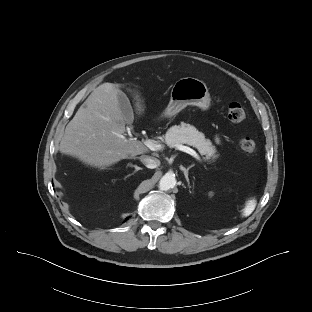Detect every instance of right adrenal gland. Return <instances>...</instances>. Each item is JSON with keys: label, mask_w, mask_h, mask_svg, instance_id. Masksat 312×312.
Masks as SVG:
<instances>
[{"label": "right adrenal gland", "mask_w": 312, "mask_h": 312, "mask_svg": "<svg viewBox=\"0 0 312 312\" xmlns=\"http://www.w3.org/2000/svg\"><path fill=\"white\" fill-rule=\"evenodd\" d=\"M128 166L134 167V168H135V170H134V172H133L132 174H134L135 172H137V171H139V170H142V168L139 167V166H137V165L128 164ZM132 174L127 175V176L125 177V179H126L127 177H129L130 175H132Z\"/></svg>", "instance_id": "right-adrenal-gland-1"}]
</instances>
